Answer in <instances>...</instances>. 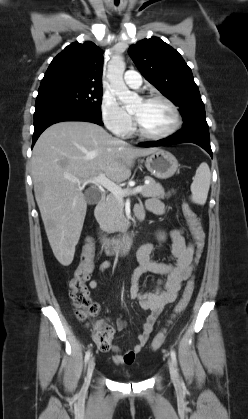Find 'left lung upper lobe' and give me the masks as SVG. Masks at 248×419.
<instances>
[{
    "label": "left lung upper lobe",
    "mask_w": 248,
    "mask_h": 419,
    "mask_svg": "<svg viewBox=\"0 0 248 419\" xmlns=\"http://www.w3.org/2000/svg\"><path fill=\"white\" fill-rule=\"evenodd\" d=\"M128 52L145 79L180 107L183 126L206 118L191 69L175 49L151 37L130 46Z\"/></svg>",
    "instance_id": "left-lung-upper-lobe-1"
}]
</instances>
